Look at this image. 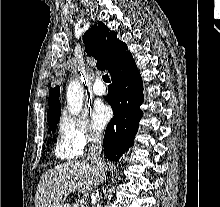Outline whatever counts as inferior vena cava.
I'll return each mask as SVG.
<instances>
[{"label":"inferior vena cava","instance_id":"602c4592","mask_svg":"<svg viewBox=\"0 0 220 207\" xmlns=\"http://www.w3.org/2000/svg\"><path fill=\"white\" fill-rule=\"evenodd\" d=\"M91 145L87 156V161L92 163L101 172L105 170V163L102 158V138L99 133L93 134L90 138ZM100 195L99 190H96V196Z\"/></svg>","mask_w":220,"mask_h":207}]
</instances>
